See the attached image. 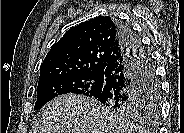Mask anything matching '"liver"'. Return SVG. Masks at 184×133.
Here are the masks:
<instances>
[{"instance_id": "1", "label": "liver", "mask_w": 184, "mask_h": 133, "mask_svg": "<svg viewBox=\"0 0 184 133\" xmlns=\"http://www.w3.org/2000/svg\"><path fill=\"white\" fill-rule=\"evenodd\" d=\"M133 122L111 113L93 98L61 95L38 114V133H143Z\"/></svg>"}]
</instances>
